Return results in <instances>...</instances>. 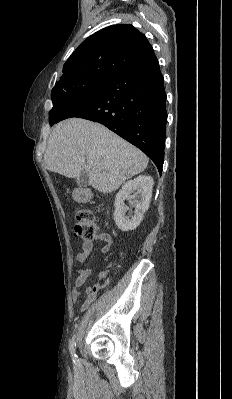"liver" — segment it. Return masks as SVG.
Listing matches in <instances>:
<instances>
[{"label":"liver","instance_id":"obj_1","mask_svg":"<svg viewBox=\"0 0 232 399\" xmlns=\"http://www.w3.org/2000/svg\"><path fill=\"white\" fill-rule=\"evenodd\" d=\"M149 158L105 126L81 118H70L54 126L44 164L50 172L67 178L89 176L98 192H114L126 180L144 172Z\"/></svg>","mask_w":232,"mask_h":399}]
</instances>
